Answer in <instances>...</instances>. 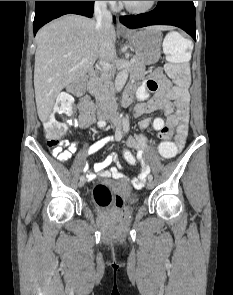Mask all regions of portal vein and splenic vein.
Listing matches in <instances>:
<instances>
[{
  "instance_id": "obj_1",
  "label": "portal vein and splenic vein",
  "mask_w": 233,
  "mask_h": 295,
  "mask_svg": "<svg viewBox=\"0 0 233 295\" xmlns=\"http://www.w3.org/2000/svg\"><path fill=\"white\" fill-rule=\"evenodd\" d=\"M82 61L85 62V61H87V59H86V58H83ZM130 62H131V63H134V62H135V58H132V59L130 60ZM100 64H101V66H102L104 69H106V70L110 69V67H111L110 64L105 63V62H102V61L100 62Z\"/></svg>"
}]
</instances>
